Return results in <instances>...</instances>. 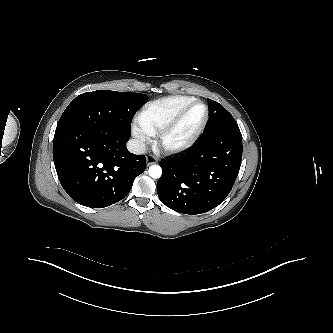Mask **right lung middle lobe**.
I'll return each mask as SVG.
<instances>
[{
	"mask_svg": "<svg viewBox=\"0 0 333 333\" xmlns=\"http://www.w3.org/2000/svg\"><path fill=\"white\" fill-rule=\"evenodd\" d=\"M147 100L146 95L133 92L98 90L83 93L65 109L57 128H78L124 139L130 136L134 114Z\"/></svg>",
	"mask_w": 333,
	"mask_h": 333,
	"instance_id": "obj_1",
	"label": "right lung middle lobe"
}]
</instances>
